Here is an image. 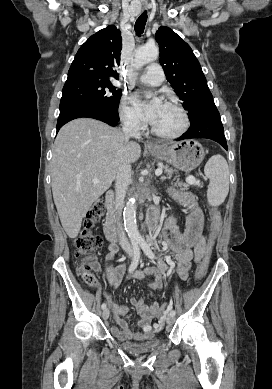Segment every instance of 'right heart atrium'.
Wrapping results in <instances>:
<instances>
[{
    "instance_id": "d8ad5b80",
    "label": "right heart atrium",
    "mask_w": 272,
    "mask_h": 389,
    "mask_svg": "<svg viewBox=\"0 0 272 389\" xmlns=\"http://www.w3.org/2000/svg\"><path fill=\"white\" fill-rule=\"evenodd\" d=\"M119 113L124 124L134 130L142 129L144 117L142 112L133 104L129 96L123 95L119 105Z\"/></svg>"
}]
</instances>
